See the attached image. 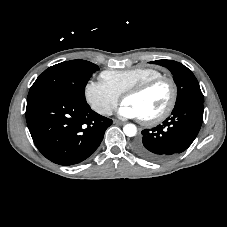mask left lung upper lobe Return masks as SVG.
I'll list each match as a JSON object with an SVG mask.
<instances>
[{"label": "left lung upper lobe", "instance_id": "1", "mask_svg": "<svg viewBox=\"0 0 227 227\" xmlns=\"http://www.w3.org/2000/svg\"><path fill=\"white\" fill-rule=\"evenodd\" d=\"M150 63L164 66L173 74V79L178 89L175 106L192 99L204 101V97L196 77L186 66L173 60H156Z\"/></svg>", "mask_w": 227, "mask_h": 227}]
</instances>
